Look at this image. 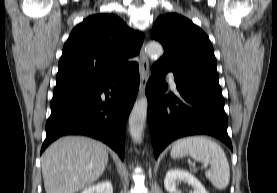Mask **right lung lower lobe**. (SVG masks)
<instances>
[{"mask_svg":"<svg viewBox=\"0 0 277 193\" xmlns=\"http://www.w3.org/2000/svg\"><path fill=\"white\" fill-rule=\"evenodd\" d=\"M138 88L137 63L97 79L56 85L41 153L63 135H86L109 145L123 160L125 125Z\"/></svg>","mask_w":277,"mask_h":193,"instance_id":"1","label":"right lung lower lobe"}]
</instances>
